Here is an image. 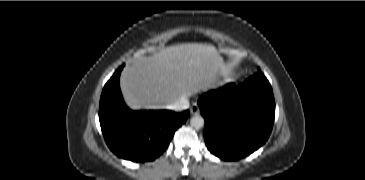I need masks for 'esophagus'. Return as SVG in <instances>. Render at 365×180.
Listing matches in <instances>:
<instances>
[{"label":"esophagus","mask_w":365,"mask_h":180,"mask_svg":"<svg viewBox=\"0 0 365 180\" xmlns=\"http://www.w3.org/2000/svg\"><path fill=\"white\" fill-rule=\"evenodd\" d=\"M199 112H200V109H199V107L196 104H194V105L191 106L190 113L192 115H198Z\"/></svg>","instance_id":"1"}]
</instances>
